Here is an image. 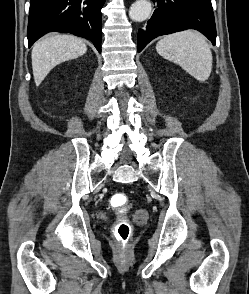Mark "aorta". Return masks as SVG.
<instances>
[{
    "mask_svg": "<svg viewBox=\"0 0 249 294\" xmlns=\"http://www.w3.org/2000/svg\"><path fill=\"white\" fill-rule=\"evenodd\" d=\"M152 11V5L149 0H137L129 10V17L136 22L146 20Z\"/></svg>",
    "mask_w": 249,
    "mask_h": 294,
    "instance_id": "1",
    "label": "aorta"
}]
</instances>
